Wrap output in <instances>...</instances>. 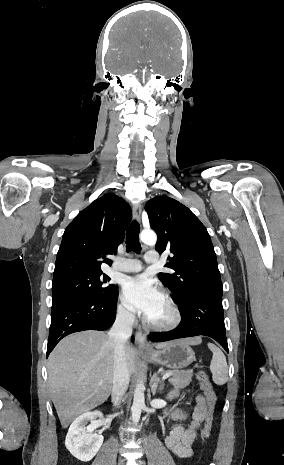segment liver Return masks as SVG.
Returning a JSON list of instances; mask_svg holds the SVG:
<instances>
[{"label": "liver", "mask_w": 284, "mask_h": 465, "mask_svg": "<svg viewBox=\"0 0 284 465\" xmlns=\"http://www.w3.org/2000/svg\"><path fill=\"white\" fill-rule=\"evenodd\" d=\"M186 345H200L201 337L185 339ZM167 343L156 345L164 349ZM129 375L135 371L136 351L124 345ZM114 339L98 331L74 333L62 339L48 359L50 397L63 429L107 401L114 377Z\"/></svg>", "instance_id": "obj_1"}]
</instances>
